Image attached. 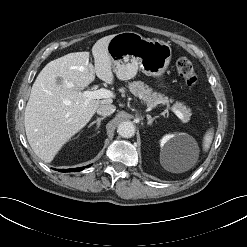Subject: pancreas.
<instances>
[{
	"label": "pancreas",
	"instance_id": "1",
	"mask_svg": "<svg viewBox=\"0 0 247 247\" xmlns=\"http://www.w3.org/2000/svg\"><path fill=\"white\" fill-rule=\"evenodd\" d=\"M128 88L133 95L142 99L148 107H156L158 104H169L172 102L168 97L153 92L151 88L141 81H133L129 83ZM174 108L178 109L183 114V122L189 121L191 116V110L189 108L180 102H176Z\"/></svg>",
	"mask_w": 247,
	"mask_h": 247
}]
</instances>
